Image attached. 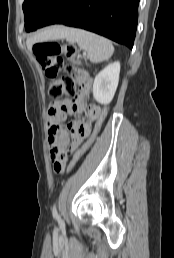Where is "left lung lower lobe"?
I'll list each match as a JSON object with an SVG mask.
<instances>
[{
    "mask_svg": "<svg viewBox=\"0 0 174 258\" xmlns=\"http://www.w3.org/2000/svg\"><path fill=\"white\" fill-rule=\"evenodd\" d=\"M139 0H62L41 27L52 24L82 28L133 47Z\"/></svg>",
    "mask_w": 174,
    "mask_h": 258,
    "instance_id": "0a47b994",
    "label": "left lung lower lobe"
}]
</instances>
